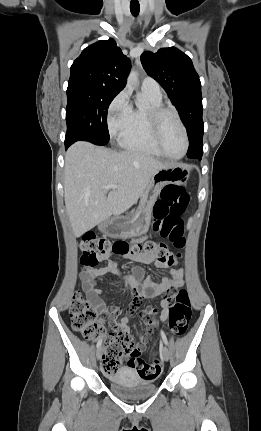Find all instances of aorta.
Here are the masks:
<instances>
[{"label": "aorta", "mask_w": 261, "mask_h": 431, "mask_svg": "<svg viewBox=\"0 0 261 431\" xmlns=\"http://www.w3.org/2000/svg\"><path fill=\"white\" fill-rule=\"evenodd\" d=\"M127 83H128V85H131V86H135V87L138 86L139 80H138V72L137 71L131 70V72L127 78Z\"/></svg>", "instance_id": "aorta-1"}]
</instances>
